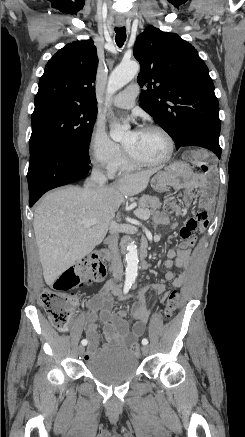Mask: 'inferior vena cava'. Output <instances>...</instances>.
I'll list each match as a JSON object with an SVG mask.
<instances>
[{
  "label": "inferior vena cava",
  "mask_w": 245,
  "mask_h": 437,
  "mask_svg": "<svg viewBox=\"0 0 245 437\" xmlns=\"http://www.w3.org/2000/svg\"><path fill=\"white\" fill-rule=\"evenodd\" d=\"M91 182L99 187H104L107 182V177L99 169L94 167L91 173ZM108 248L111 251V267L110 270L115 280H121L123 275V265L121 262V256L118 251V238L113 236L108 241Z\"/></svg>",
  "instance_id": "602c4592"
}]
</instances>
